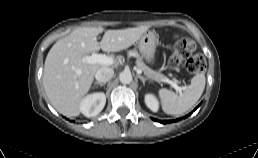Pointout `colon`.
<instances>
[{
    "mask_svg": "<svg viewBox=\"0 0 258 158\" xmlns=\"http://www.w3.org/2000/svg\"><path fill=\"white\" fill-rule=\"evenodd\" d=\"M168 65L171 69L185 67L191 74L201 73L206 68L204 57L196 51L194 42L185 36L176 37Z\"/></svg>",
    "mask_w": 258,
    "mask_h": 158,
    "instance_id": "colon-1",
    "label": "colon"
}]
</instances>
